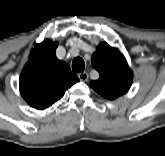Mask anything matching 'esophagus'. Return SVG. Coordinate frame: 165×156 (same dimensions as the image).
<instances>
[{
  "instance_id": "1",
  "label": "esophagus",
  "mask_w": 165,
  "mask_h": 156,
  "mask_svg": "<svg viewBox=\"0 0 165 156\" xmlns=\"http://www.w3.org/2000/svg\"><path fill=\"white\" fill-rule=\"evenodd\" d=\"M78 78H79L81 81H87V80H88V74H87L86 72L79 73V74H78Z\"/></svg>"
}]
</instances>
